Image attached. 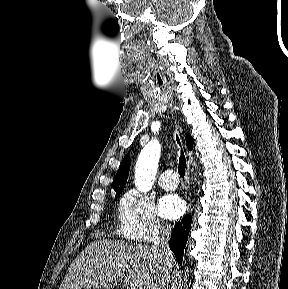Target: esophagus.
<instances>
[{"label": "esophagus", "instance_id": "34e87169", "mask_svg": "<svg viewBox=\"0 0 288 289\" xmlns=\"http://www.w3.org/2000/svg\"><path fill=\"white\" fill-rule=\"evenodd\" d=\"M189 169H190V162L188 161V163H187V176H186V178H187V180H189ZM187 202H188V209H190V197H189V195H188V199H187Z\"/></svg>", "mask_w": 288, "mask_h": 289}]
</instances>
